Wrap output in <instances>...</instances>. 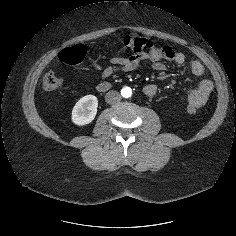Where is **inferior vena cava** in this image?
I'll return each mask as SVG.
<instances>
[{"mask_svg":"<svg viewBox=\"0 0 236 236\" xmlns=\"http://www.w3.org/2000/svg\"><path fill=\"white\" fill-rule=\"evenodd\" d=\"M105 101L108 104H115L118 103L119 101H121V95L119 94V92L117 91H109L108 93H106L105 95Z\"/></svg>","mask_w":236,"mask_h":236,"instance_id":"1","label":"inferior vena cava"}]
</instances>
